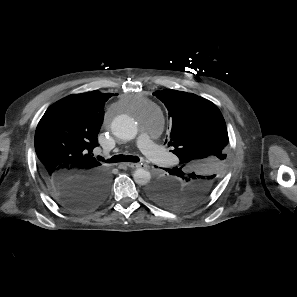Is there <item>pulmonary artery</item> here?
Masks as SVG:
<instances>
[{"instance_id":"pulmonary-artery-1","label":"pulmonary artery","mask_w":297,"mask_h":297,"mask_svg":"<svg viewBox=\"0 0 297 297\" xmlns=\"http://www.w3.org/2000/svg\"><path fill=\"white\" fill-rule=\"evenodd\" d=\"M155 129L156 126L149 121L144 131L138 137V147L153 163L163 167H169L174 164L175 158L152 141V131H155Z\"/></svg>"}]
</instances>
